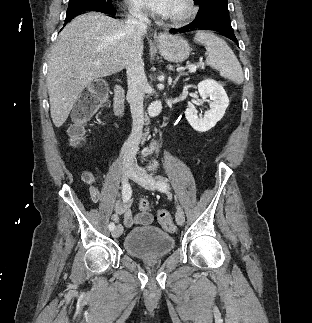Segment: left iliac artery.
Instances as JSON below:
<instances>
[{"label": "left iliac artery", "instance_id": "1", "mask_svg": "<svg viewBox=\"0 0 312 323\" xmlns=\"http://www.w3.org/2000/svg\"><path fill=\"white\" fill-rule=\"evenodd\" d=\"M169 187V185H168V183L167 182H159V184H158V188L160 189V190H164L165 188H168Z\"/></svg>", "mask_w": 312, "mask_h": 323}]
</instances>
